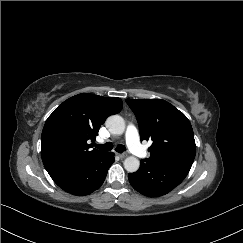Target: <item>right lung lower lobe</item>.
Instances as JSON below:
<instances>
[{"mask_svg":"<svg viewBox=\"0 0 243 243\" xmlns=\"http://www.w3.org/2000/svg\"><path fill=\"white\" fill-rule=\"evenodd\" d=\"M114 162L112 152H104L92 159L66 169L49 173L53 181L73 195H87L98 189Z\"/></svg>","mask_w":243,"mask_h":243,"instance_id":"right-lung-lower-lobe-1","label":"right lung lower lobe"}]
</instances>
